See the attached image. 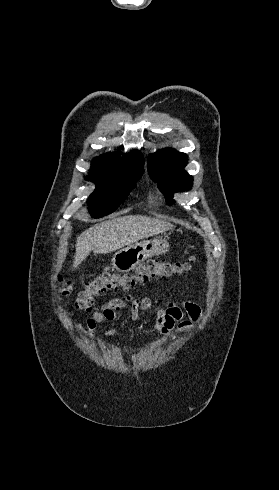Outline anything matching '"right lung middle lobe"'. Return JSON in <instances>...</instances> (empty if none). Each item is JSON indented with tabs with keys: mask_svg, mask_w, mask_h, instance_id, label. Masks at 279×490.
<instances>
[{
	"mask_svg": "<svg viewBox=\"0 0 279 490\" xmlns=\"http://www.w3.org/2000/svg\"><path fill=\"white\" fill-rule=\"evenodd\" d=\"M144 170H126L109 178H96V189L88 199L89 210L95 218L112 213L136 187Z\"/></svg>",
	"mask_w": 279,
	"mask_h": 490,
	"instance_id": "obj_1",
	"label": "right lung middle lobe"
}]
</instances>
